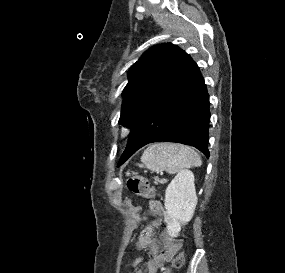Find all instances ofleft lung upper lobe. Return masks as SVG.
Segmentation results:
<instances>
[{"label": "left lung upper lobe", "instance_id": "5c2ea615", "mask_svg": "<svg viewBox=\"0 0 285 273\" xmlns=\"http://www.w3.org/2000/svg\"><path fill=\"white\" fill-rule=\"evenodd\" d=\"M189 58L171 43L148 49L129 69L119 123L132 128L176 83Z\"/></svg>", "mask_w": 285, "mask_h": 273}]
</instances>
